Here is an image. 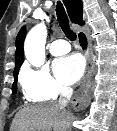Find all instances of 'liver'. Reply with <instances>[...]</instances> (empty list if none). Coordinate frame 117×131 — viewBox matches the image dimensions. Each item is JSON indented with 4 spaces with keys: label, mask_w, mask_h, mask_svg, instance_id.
<instances>
[{
    "label": "liver",
    "mask_w": 117,
    "mask_h": 131,
    "mask_svg": "<svg viewBox=\"0 0 117 131\" xmlns=\"http://www.w3.org/2000/svg\"><path fill=\"white\" fill-rule=\"evenodd\" d=\"M71 114L56 103L26 106L15 116L11 131H67Z\"/></svg>",
    "instance_id": "6515ba94"
}]
</instances>
